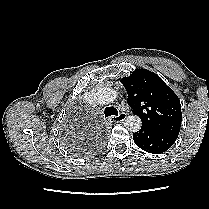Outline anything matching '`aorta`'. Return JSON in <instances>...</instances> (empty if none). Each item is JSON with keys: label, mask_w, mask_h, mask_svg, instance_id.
I'll return each mask as SVG.
<instances>
[{"label": "aorta", "mask_w": 209, "mask_h": 209, "mask_svg": "<svg viewBox=\"0 0 209 209\" xmlns=\"http://www.w3.org/2000/svg\"><path fill=\"white\" fill-rule=\"evenodd\" d=\"M117 98V92L109 87L99 88L94 93V100L98 104H109ZM124 126L130 132H137L142 126V121L137 115H130L124 120Z\"/></svg>", "instance_id": "aorta-1"}]
</instances>
